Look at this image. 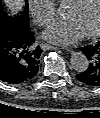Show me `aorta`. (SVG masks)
Returning <instances> with one entry per match:
<instances>
[{"label":"aorta","instance_id":"aorta-1","mask_svg":"<svg viewBox=\"0 0 100 118\" xmlns=\"http://www.w3.org/2000/svg\"><path fill=\"white\" fill-rule=\"evenodd\" d=\"M71 67L77 72H84L89 66L87 57L82 52H73L70 58Z\"/></svg>","mask_w":100,"mask_h":118}]
</instances>
